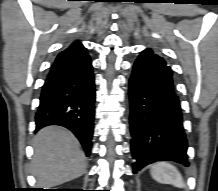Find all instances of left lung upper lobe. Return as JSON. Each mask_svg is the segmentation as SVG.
<instances>
[{
  "instance_id": "left-lung-upper-lobe-1",
  "label": "left lung upper lobe",
  "mask_w": 218,
  "mask_h": 191,
  "mask_svg": "<svg viewBox=\"0 0 218 191\" xmlns=\"http://www.w3.org/2000/svg\"><path fill=\"white\" fill-rule=\"evenodd\" d=\"M144 51L147 52L150 56H152V57L158 59V60L161 61L163 64H165V65L168 66V64L166 63V61H165L162 57L158 56L157 54H154L152 50L146 49V50H144Z\"/></svg>"
}]
</instances>
